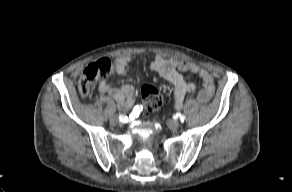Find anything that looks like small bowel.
<instances>
[{
  "instance_id": "obj_1",
  "label": "small bowel",
  "mask_w": 292,
  "mask_h": 192,
  "mask_svg": "<svg viewBox=\"0 0 292 192\" xmlns=\"http://www.w3.org/2000/svg\"><path fill=\"white\" fill-rule=\"evenodd\" d=\"M132 59L129 56H122L115 60L116 72L125 75L130 67ZM150 69L155 71L159 77L169 81L174 86L173 104L176 107L181 106L187 94L195 91L196 86L192 82L184 79L182 73L191 72L198 75L202 82L203 87L199 92L198 97L201 101L206 102L213 94L214 83L210 73L199 67L198 65L186 61L166 59L160 55L154 57L149 64ZM99 91L108 94L112 97L118 108L121 110H128L134 103V88L129 84H124L120 87L109 84L103 80L99 84Z\"/></svg>"
}]
</instances>
